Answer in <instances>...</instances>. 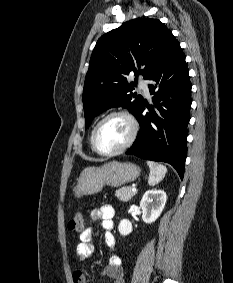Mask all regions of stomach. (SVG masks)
<instances>
[{"label":"stomach","mask_w":233,"mask_h":283,"mask_svg":"<svg viewBox=\"0 0 233 283\" xmlns=\"http://www.w3.org/2000/svg\"><path fill=\"white\" fill-rule=\"evenodd\" d=\"M140 173V167L130 162L112 161L100 167H87L77 179L75 197L97 194L105 185L118 187L133 182Z\"/></svg>","instance_id":"stomach-1"}]
</instances>
